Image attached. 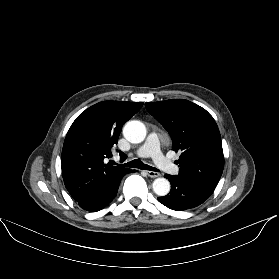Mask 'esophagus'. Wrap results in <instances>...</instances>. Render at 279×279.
I'll return each instance as SVG.
<instances>
[{
	"label": "esophagus",
	"instance_id": "1",
	"mask_svg": "<svg viewBox=\"0 0 279 279\" xmlns=\"http://www.w3.org/2000/svg\"><path fill=\"white\" fill-rule=\"evenodd\" d=\"M146 173L149 177H152V178H156V177L160 176V173L155 172V171H146Z\"/></svg>",
	"mask_w": 279,
	"mask_h": 279
}]
</instances>
